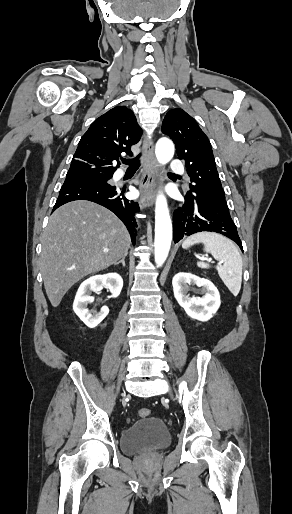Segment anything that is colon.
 <instances>
[{"mask_svg":"<svg viewBox=\"0 0 292 514\" xmlns=\"http://www.w3.org/2000/svg\"><path fill=\"white\" fill-rule=\"evenodd\" d=\"M137 414L141 419H148L151 415V412L147 408H139L137 410Z\"/></svg>","mask_w":292,"mask_h":514,"instance_id":"obj_1","label":"colon"}]
</instances>
